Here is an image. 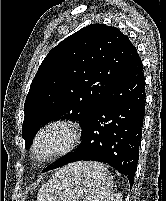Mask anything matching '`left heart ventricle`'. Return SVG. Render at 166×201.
I'll list each match as a JSON object with an SVG mask.
<instances>
[{
  "mask_svg": "<svg viewBox=\"0 0 166 201\" xmlns=\"http://www.w3.org/2000/svg\"><path fill=\"white\" fill-rule=\"evenodd\" d=\"M67 141V134L61 128L50 130L42 138L38 151L40 155H45L62 148Z\"/></svg>",
  "mask_w": 166,
  "mask_h": 201,
  "instance_id": "b2bd125f",
  "label": "left heart ventricle"
}]
</instances>
